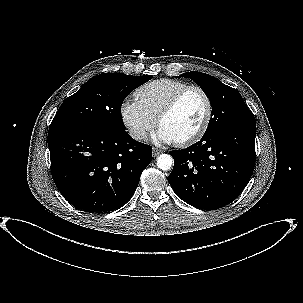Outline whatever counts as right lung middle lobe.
<instances>
[{
  "instance_id": "1",
  "label": "right lung middle lobe",
  "mask_w": 303,
  "mask_h": 303,
  "mask_svg": "<svg viewBox=\"0 0 303 303\" xmlns=\"http://www.w3.org/2000/svg\"><path fill=\"white\" fill-rule=\"evenodd\" d=\"M152 77L102 73L91 78L62 103L50 129L92 127L114 132L125 131L121 105L132 90Z\"/></svg>"
}]
</instances>
